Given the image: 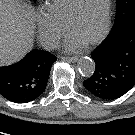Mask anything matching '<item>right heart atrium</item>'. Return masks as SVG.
Segmentation results:
<instances>
[{"instance_id":"d8ad5b80","label":"right heart atrium","mask_w":135,"mask_h":135,"mask_svg":"<svg viewBox=\"0 0 135 135\" xmlns=\"http://www.w3.org/2000/svg\"><path fill=\"white\" fill-rule=\"evenodd\" d=\"M36 30L41 43L49 48L55 47L64 35L63 29L54 24L47 16L37 17Z\"/></svg>"}]
</instances>
